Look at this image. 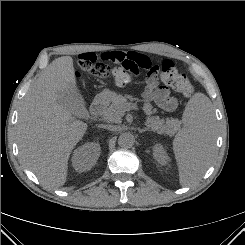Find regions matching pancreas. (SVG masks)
I'll return each instance as SVG.
<instances>
[{
  "label": "pancreas",
  "mask_w": 245,
  "mask_h": 245,
  "mask_svg": "<svg viewBox=\"0 0 245 245\" xmlns=\"http://www.w3.org/2000/svg\"><path fill=\"white\" fill-rule=\"evenodd\" d=\"M127 99L132 101L136 98H133L130 95L115 96L111 105L103 112V119L106 122L119 123L121 121V117L124 115V112L135 106V104L127 102ZM143 111L148 116L146 123L152 131H155L159 134L166 133L172 135L180 129L181 121L178 119L171 118L163 120L157 116H151L156 112V110L153 109L152 105L149 103L144 104Z\"/></svg>",
  "instance_id": "pancreas-1"
}]
</instances>
